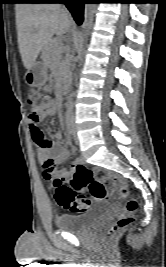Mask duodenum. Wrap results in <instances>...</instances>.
I'll list each match as a JSON object with an SVG mask.
<instances>
[{
	"instance_id": "duodenum-1",
	"label": "duodenum",
	"mask_w": 166,
	"mask_h": 267,
	"mask_svg": "<svg viewBox=\"0 0 166 267\" xmlns=\"http://www.w3.org/2000/svg\"><path fill=\"white\" fill-rule=\"evenodd\" d=\"M67 88H68V80L66 78H64L62 81H61V85H60V93L62 95H64L67 91Z\"/></svg>"
}]
</instances>
